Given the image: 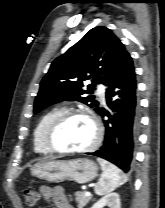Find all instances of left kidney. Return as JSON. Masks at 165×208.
I'll return each mask as SVG.
<instances>
[{
  "label": "left kidney",
  "instance_id": "1",
  "mask_svg": "<svg viewBox=\"0 0 165 208\" xmlns=\"http://www.w3.org/2000/svg\"><path fill=\"white\" fill-rule=\"evenodd\" d=\"M121 208L120 198L118 193H109L97 201L91 208Z\"/></svg>",
  "mask_w": 165,
  "mask_h": 208
}]
</instances>
